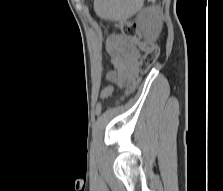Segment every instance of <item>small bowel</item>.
Wrapping results in <instances>:
<instances>
[{
    "label": "small bowel",
    "mask_w": 223,
    "mask_h": 191,
    "mask_svg": "<svg viewBox=\"0 0 223 191\" xmlns=\"http://www.w3.org/2000/svg\"><path fill=\"white\" fill-rule=\"evenodd\" d=\"M113 70L108 72L107 79L114 85L126 86L137 74V66L141 58L140 51L125 36L115 33L107 41ZM113 86L106 87L102 97L107 98L113 92Z\"/></svg>",
    "instance_id": "obj_1"
}]
</instances>
